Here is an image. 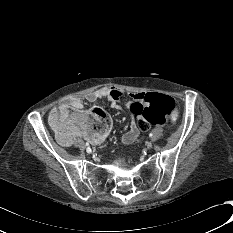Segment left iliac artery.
Wrapping results in <instances>:
<instances>
[{
	"label": "left iliac artery",
	"mask_w": 233,
	"mask_h": 233,
	"mask_svg": "<svg viewBox=\"0 0 233 233\" xmlns=\"http://www.w3.org/2000/svg\"><path fill=\"white\" fill-rule=\"evenodd\" d=\"M149 137H153V134H152V133H150V134H149Z\"/></svg>",
	"instance_id": "left-iliac-artery-1"
}]
</instances>
